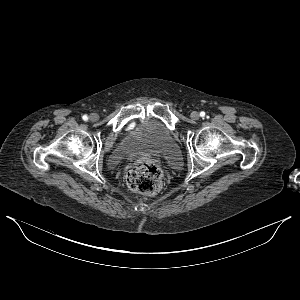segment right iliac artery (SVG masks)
<instances>
[{"label":"right iliac artery","mask_w":300,"mask_h":300,"mask_svg":"<svg viewBox=\"0 0 300 300\" xmlns=\"http://www.w3.org/2000/svg\"><path fill=\"white\" fill-rule=\"evenodd\" d=\"M82 119H83L84 121H87V120H88V116H87V115H83Z\"/></svg>","instance_id":"1"}]
</instances>
